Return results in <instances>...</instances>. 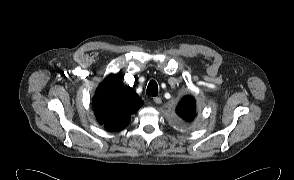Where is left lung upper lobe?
I'll return each mask as SVG.
<instances>
[{
  "label": "left lung upper lobe",
  "mask_w": 294,
  "mask_h": 180,
  "mask_svg": "<svg viewBox=\"0 0 294 180\" xmlns=\"http://www.w3.org/2000/svg\"><path fill=\"white\" fill-rule=\"evenodd\" d=\"M177 115L186 122H191L196 117V103L192 96L184 97L176 108Z\"/></svg>",
  "instance_id": "obj_1"
}]
</instances>
